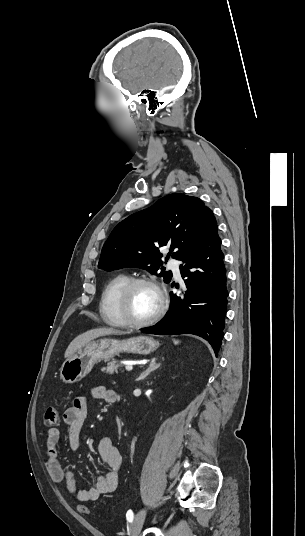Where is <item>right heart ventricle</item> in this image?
Returning <instances> with one entry per match:
<instances>
[{"instance_id":"obj_1","label":"right heart ventricle","mask_w":305,"mask_h":536,"mask_svg":"<svg viewBox=\"0 0 305 536\" xmlns=\"http://www.w3.org/2000/svg\"><path fill=\"white\" fill-rule=\"evenodd\" d=\"M129 280L130 277L127 274H117L108 281L102 290L99 302V314L101 319L110 326H124V321L118 310V297Z\"/></svg>"}]
</instances>
